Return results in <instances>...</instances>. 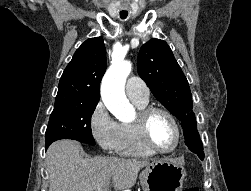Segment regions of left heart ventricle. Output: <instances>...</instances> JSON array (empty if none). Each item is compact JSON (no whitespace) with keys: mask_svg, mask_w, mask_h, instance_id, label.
I'll list each match as a JSON object with an SVG mask.
<instances>
[{"mask_svg":"<svg viewBox=\"0 0 251 191\" xmlns=\"http://www.w3.org/2000/svg\"><path fill=\"white\" fill-rule=\"evenodd\" d=\"M149 136L154 146L163 152L174 150L178 143V134L174 124L163 113L153 115L149 124Z\"/></svg>","mask_w":251,"mask_h":191,"instance_id":"obj_1","label":"left heart ventricle"}]
</instances>
